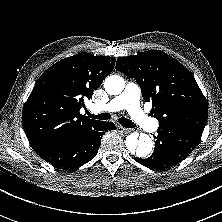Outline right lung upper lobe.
I'll list each match as a JSON object with an SVG mask.
<instances>
[{
	"label": "right lung upper lobe",
	"instance_id": "right-lung-upper-lobe-1",
	"mask_svg": "<svg viewBox=\"0 0 222 222\" xmlns=\"http://www.w3.org/2000/svg\"><path fill=\"white\" fill-rule=\"evenodd\" d=\"M115 58L79 53L47 69L37 80L22 112V124L32 148L75 136L97 120L80 114L113 70Z\"/></svg>",
	"mask_w": 222,
	"mask_h": 222
}]
</instances>
